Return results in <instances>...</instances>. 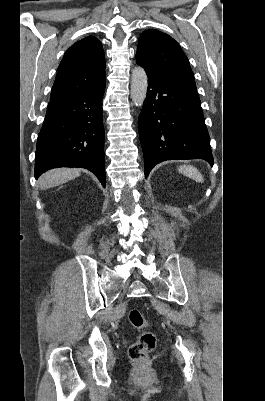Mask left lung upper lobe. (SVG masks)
Masks as SVG:
<instances>
[{"label":"left lung upper lobe","instance_id":"left-lung-upper-lobe-1","mask_svg":"<svg viewBox=\"0 0 265 401\" xmlns=\"http://www.w3.org/2000/svg\"><path fill=\"white\" fill-rule=\"evenodd\" d=\"M136 60L145 71L158 77L195 82L189 61L179 44L158 30L141 34Z\"/></svg>","mask_w":265,"mask_h":401}]
</instances>
